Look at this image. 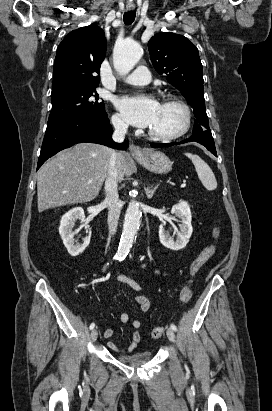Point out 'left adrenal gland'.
Instances as JSON below:
<instances>
[{
    "label": "left adrenal gland",
    "instance_id": "obj_1",
    "mask_svg": "<svg viewBox=\"0 0 272 411\" xmlns=\"http://www.w3.org/2000/svg\"><path fill=\"white\" fill-rule=\"evenodd\" d=\"M157 188H158V185L154 186L153 188H150V187L145 188V192H146L148 199H151L153 197Z\"/></svg>",
    "mask_w": 272,
    "mask_h": 411
}]
</instances>
